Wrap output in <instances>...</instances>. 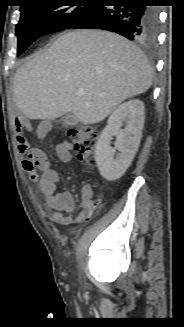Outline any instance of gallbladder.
<instances>
[{"mask_svg":"<svg viewBox=\"0 0 184 327\" xmlns=\"http://www.w3.org/2000/svg\"><path fill=\"white\" fill-rule=\"evenodd\" d=\"M63 123L66 126L76 125L78 123V118L74 114H68L64 119Z\"/></svg>","mask_w":184,"mask_h":327,"instance_id":"gallbladder-1","label":"gallbladder"}]
</instances>
